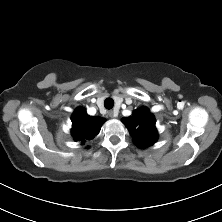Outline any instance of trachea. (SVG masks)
<instances>
[{"label": "trachea", "instance_id": "obj_1", "mask_svg": "<svg viewBox=\"0 0 222 222\" xmlns=\"http://www.w3.org/2000/svg\"><path fill=\"white\" fill-rule=\"evenodd\" d=\"M104 106L106 109H112L114 106V100L112 98L105 99Z\"/></svg>", "mask_w": 222, "mask_h": 222}]
</instances>
